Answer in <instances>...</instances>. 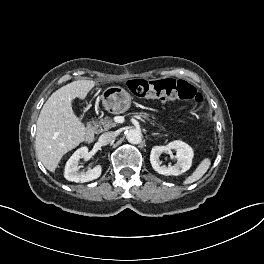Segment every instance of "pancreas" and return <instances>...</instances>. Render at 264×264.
<instances>
[{
    "label": "pancreas",
    "instance_id": "pancreas-1",
    "mask_svg": "<svg viewBox=\"0 0 264 264\" xmlns=\"http://www.w3.org/2000/svg\"><path fill=\"white\" fill-rule=\"evenodd\" d=\"M140 116L147 119V120H150L148 113L140 112ZM153 119H155L154 116H153ZM115 126H116V123L108 116H106L105 118H101L99 120H96V121H92V124L89 125V127H91V129L96 134L108 131Z\"/></svg>",
    "mask_w": 264,
    "mask_h": 264
}]
</instances>
